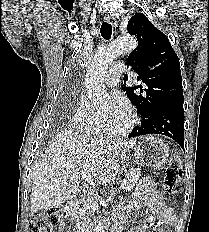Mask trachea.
<instances>
[{
    "label": "trachea",
    "instance_id": "trachea-1",
    "mask_svg": "<svg viewBox=\"0 0 209 232\" xmlns=\"http://www.w3.org/2000/svg\"><path fill=\"white\" fill-rule=\"evenodd\" d=\"M101 35L104 39L109 40L112 35V25L107 22H103L100 29Z\"/></svg>",
    "mask_w": 209,
    "mask_h": 232
}]
</instances>
